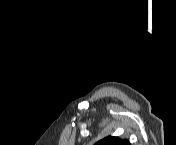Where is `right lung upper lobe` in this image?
<instances>
[{
	"label": "right lung upper lobe",
	"instance_id": "right-lung-upper-lobe-1",
	"mask_svg": "<svg viewBox=\"0 0 176 145\" xmlns=\"http://www.w3.org/2000/svg\"><path fill=\"white\" fill-rule=\"evenodd\" d=\"M96 145H130V143L127 140L109 136L97 142Z\"/></svg>",
	"mask_w": 176,
	"mask_h": 145
}]
</instances>
